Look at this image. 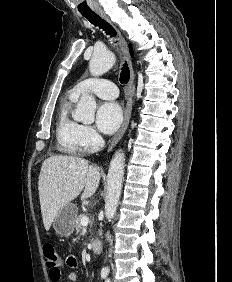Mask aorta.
Here are the masks:
<instances>
[{
	"label": "aorta",
	"instance_id": "aorta-1",
	"mask_svg": "<svg viewBox=\"0 0 232 282\" xmlns=\"http://www.w3.org/2000/svg\"><path fill=\"white\" fill-rule=\"evenodd\" d=\"M115 64V55L108 50H96L89 62V71L93 76L106 73ZM96 101L92 95H83L73 114L76 121L90 124L94 121ZM125 156L117 151L109 166L107 178V195L105 198V216L108 221L114 217L121 195Z\"/></svg>",
	"mask_w": 232,
	"mask_h": 282
}]
</instances>
